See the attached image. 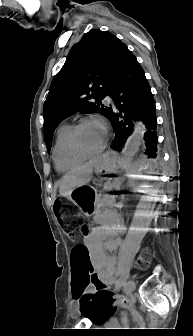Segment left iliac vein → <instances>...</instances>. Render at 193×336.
Instances as JSON below:
<instances>
[{
  "mask_svg": "<svg viewBox=\"0 0 193 336\" xmlns=\"http://www.w3.org/2000/svg\"><path fill=\"white\" fill-rule=\"evenodd\" d=\"M136 283L133 279H129L125 285V292L130 294L135 290Z\"/></svg>",
  "mask_w": 193,
  "mask_h": 336,
  "instance_id": "obj_1",
  "label": "left iliac vein"
}]
</instances>
